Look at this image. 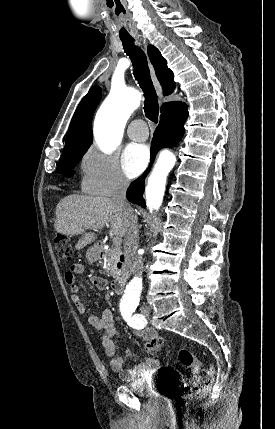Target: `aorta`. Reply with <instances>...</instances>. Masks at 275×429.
I'll list each match as a JSON object with an SVG mask.
<instances>
[{"label": "aorta", "instance_id": "1", "mask_svg": "<svg viewBox=\"0 0 275 429\" xmlns=\"http://www.w3.org/2000/svg\"><path fill=\"white\" fill-rule=\"evenodd\" d=\"M139 101V94L134 90H112L99 109L95 119V139L103 152L110 153L120 144L127 119L138 107ZM174 162L175 156L170 152H166L160 156L150 174L145 189L146 204L150 210H158L161 206L167 176ZM140 289V280L134 278L126 288L123 302L127 304L135 303Z\"/></svg>", "mask_w": 275, "mask_h": 429}]
</instances>
